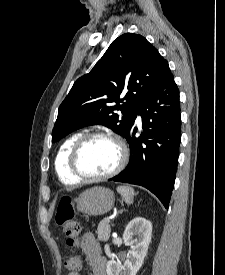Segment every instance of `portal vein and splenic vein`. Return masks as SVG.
I'll use <instances>...</instances> for the list:
<instances>
[{
  "label": "portal vein and splenic vein",
  "instance_id": "portal-vein-and-splenic-vein-1",
  "mask_svg": "<svg viewBox=\"0 0 225 275\" xmlns=\"http://www.w3.org/2000/svg\"><path fill=\"white\" fill-rule=\"evenodd\" d=\"M106 220H107V221H110V218H107Z\"/></svg>",
  "mask_w": 225,
  "mask_h": 275
}]
</instances>
